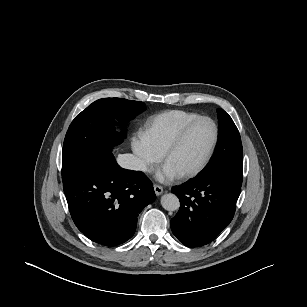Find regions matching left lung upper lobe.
Returning <instances> with one entry per match:
<instances>
[{"mask_svg": "<svg viewBox=\"0 0 307 307\" xmlns=\"http://www.w3.org/2000/svg\"><path fill=\"white\" fill-rule=\"evenodd\" d=\"M219 136L215 153L201 175L222 174L242 184L243 149L239 131L231 117L218 109Z\"/></svg>", "mask_w": 307, "mask_h": 307, "instance_id": "left-lung-upper-lobe-1", "label": "left lung upper lobe"}]
</instances>
